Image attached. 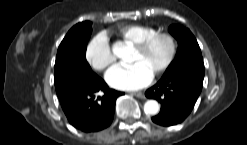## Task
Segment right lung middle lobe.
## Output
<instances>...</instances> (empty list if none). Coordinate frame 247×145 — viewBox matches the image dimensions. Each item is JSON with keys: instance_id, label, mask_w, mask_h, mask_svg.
<instances>
[{"instance_id": "dd1d6c3e", "label": "right lung middle lobe", "mask_w": 247, "mask_h": 145, "mask_svg": "<svg viewBox=\"0 0 247 145\" xmlns=\"http://www.w3.org/2000/svg\"><path fill=\"white\" fill-rule=\"evenodd\" d=\"M91 31L89 21L78 23L69 30L57 51L55 81L77 72L93 73L86 60L87 42Z\"/></svg>"}]
</instances>
